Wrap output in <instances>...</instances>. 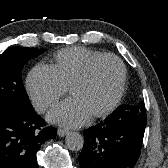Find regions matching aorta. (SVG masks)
<instances>
[{"instance_id": "762f6f07", "label": "aorta", "mask_w": 168, "mask_h": 168, "mask_svg": "<svg viewBox=\"0 0 168 168\" xmlns=\"http://www.w3.org/2000/svg\"><path fill=\"white\" fill-rule=\"evenodd\" d=\"M84 138L80 133L71 132L66 136V146L71 151H79L83 148Z\"/></svg>"}]
</instances>
